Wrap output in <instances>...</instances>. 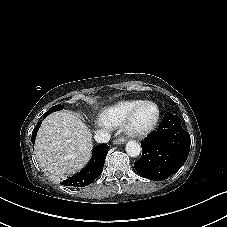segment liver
<instances>
[{
    "label": "liver",
    "mask_w": 227,
    "mask_h": 227,
    "mask_svg": "<svg viewBox=\"0 0 227 227\" xmlns=\"http://www.w3.org/2000/svg\"><path fill=\"white\" fill-rule=\"evenodd\" d=\"M92 147L88 127L80 116L66 110L50 114L42 122L34 145L40 166L56 176L82 169Z\"/></svg>",
    "instance_id": "6515ba94"
}]
</instances>
